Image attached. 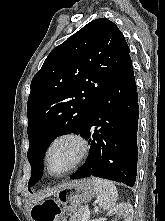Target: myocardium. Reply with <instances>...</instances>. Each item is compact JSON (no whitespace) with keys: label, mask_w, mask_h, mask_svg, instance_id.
<instances>
[{"label":"myocardium","mask_w":165,"mask_h":221,"mask_svg":"<svg viewBox=\"0 0 165 221\" xmlns=\"http://www.w3.org/2000/svg\"><path fill=\"white\" fill-rule=\"evenodd\" d=\"M63 140L74 141L78 145V155H77L74 163L69 168H67L63 171H60V172H55L50 167L49 154H50L52 148L57 143H59L60 141H63ZM88 153H89L88 141L81 133L76 132V131L63 132V133L57 135L55 138H53L52 141L47 146V149L45 151V156H44L47 171L49 174H51L53 176L67 175V174L73 172L74 170H76L82 164V162L87 157Z\"/></svg>","instance_id":"myocardium-1"}]
</instances>
